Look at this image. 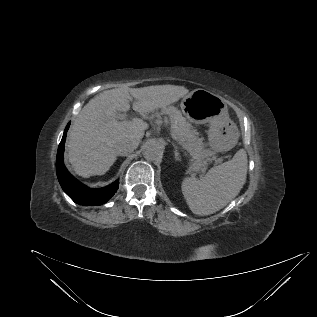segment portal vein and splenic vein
Here are the masks:
<instances>
[{
  "mask_svg": "<svg viewBox=\"0 0 317 317\" xmlns=\"http://www.w3.org/2000/svg\"><path fill=\"white\" fill-rule=\"evenodd\" d=\"M116 117H117V119L124 120L126 118V115L119 113V114H117Z\"/></svg>",
  "mask_w": 317,
  "mask_h": 317,
  "instance_id": "18ae733b",
  "label": "portal vein and splenic vein"
}]
</instances>
